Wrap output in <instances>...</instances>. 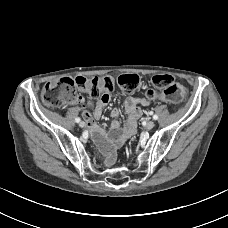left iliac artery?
<instances>
[{
  "instance_id": "44dca946",
  "label": "left iliac artery",
  "mask_w": 228,
  "mask_h": 228,
  "mask_svg": "<svg viewBox=\"0 0 228 228\" xmlns=\"http://www.w3.org/2000/svg\"><path fill=\"white\" fill-rule=\"evenodd\" d=\"M153 119L154 120H157L158 119V116L157 115H153Z\"/></svg>"
}]
</instances>
